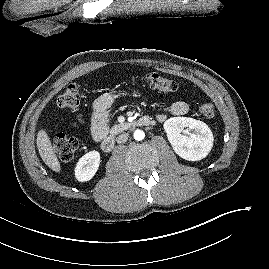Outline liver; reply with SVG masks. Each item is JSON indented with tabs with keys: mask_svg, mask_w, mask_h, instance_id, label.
Instances as JSON below:
<instances>
[{
	"mask_svg": "<svg viewBox=\"0 0 269 269\" xmlns=\"http://www.w3.org/2000/svg\"><path fill=\"white\" fill-rule=\"evenodd\" d=\"M37 148L45 164L53 171L59 172L61 169L60 163L53 151L50 138L44 130H40L37 134Z\"/></svg>",
	"mask_w": 269,
	"mask_h": 269,
	"instance_id": "1",
	"label": "liver"
}]
</instances>
